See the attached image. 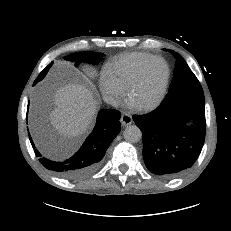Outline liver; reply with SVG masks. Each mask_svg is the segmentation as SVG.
Wrapping results in <instances>:
<instances>
[{
    "label": "liver",
    "mask_w": 231,
    "mask_h": 231,
    "mask_svg": "<svg viewBox=\"0 0 231 231\" xmlns=\"http://www.w3.org/2000/svg\"><path fill=\"white\" fill-rule=\"evenodd\" d=\"M53 101L55 107L49 111L48 119L61 136L76 138L91 127L97 112V100L91 85L65 84L55 91ZM30 126L36 144L47 152L48 143L43 124L36 111L32 113Z\"/></svg>",
    "instance_id": "1"
}]
</instances>
